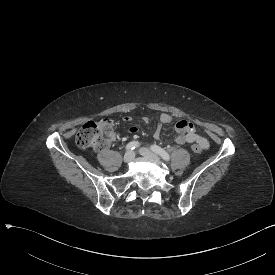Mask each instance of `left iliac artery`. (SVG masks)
Here are the masks:
<instances>
[{
    "label": "left iliac artery",
    "instance_id": "obj_1",
    "mask_svg": "<svg viewBox=\"0 0 275 275\" xmlns=\"http://www.w3.org/2000/svg\"><path fill=\"white\" fill-rule=\"evenodd\" d=\"M151 150L153 152H155L156 154H158L159 156H161L165 161H169L170 160V155L168 152H166L164 149L160 148L157 145H152L151 146Z\"/></svg>",
    "mask_w": 275,
    "mask_h": 275
}]
</instances>
